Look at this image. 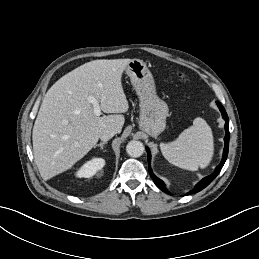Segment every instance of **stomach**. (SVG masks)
Segmentation results:
<instances>
[{
	"instance_id": "obj_1",
	"label": "stomach",
	"mask_w": 259,
	"mask_h": 259,
	"mask_svg": "<svg viewBox=\"0 0 259 259\" xmlns=\"http://www.w3.org/2000/svg\"><path fill=\"white\" fill-rule=\"evenodd\" d=\"M139 98L140 128L152 137L158 136L166 127L169 109L155 89L150 70L140 59H132L125 68Z\"/></svg>"
}]
</instances>
